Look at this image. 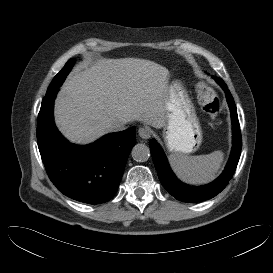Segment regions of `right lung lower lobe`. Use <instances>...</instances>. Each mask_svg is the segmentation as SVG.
<instances>
[{"label": "right lung lower lobe", "instance_id": "obj_1", "mask_svg": "<svg viewBox=\"0 0 273 273\" xmlns=\"http://www.w3.org/2000/svg\"><path fill=\"white\" fill-rule=\"evenodd\" d=\"M58 89L46 95L37 120V142L50 180L71 199L100 204L110 200L135 145V127L105 135L87 146L70 144L53 119Z\"/></svg>", "mask_w": 273, "mask_h": 273}]
</instances>
